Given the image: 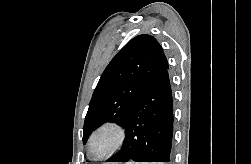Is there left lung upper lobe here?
<instances>
[{
    "mask_svg": "<svg viewBox=\"0 0 251 164\" xmlns=\"http://www.w3.org/2000/svg\"><path fill=\"white\" fill-rule=\"evenodd\" d=\"M168 61L150 35L130 40L111 60L94 90L83 127V142L106 121L124 127L143 90L164 70Z\"/></svg>",
    "mask_w": 251,
    "mask_h": 164,
    "instance_id": "1",
    "label": "left lung upper lobe"
}]
</instances>
